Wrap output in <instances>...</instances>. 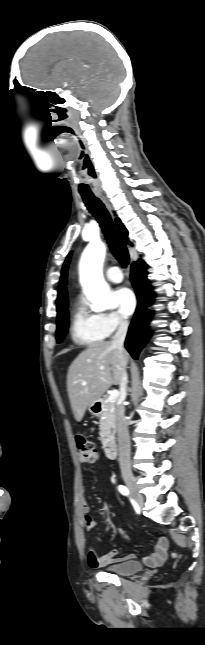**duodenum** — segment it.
I'll return each mask as SVG.
<instances>
[{
    "label": "duodenum",
    "instance_id": "1",
    "mask_svg": "<svg viewBox=\"0 0 205 645\" xmlns=\"http://www.w3.org/2000/svg\"><path fill=\"white\" fill-rule=\"evenodd\" d=\"M101 408L102 405L100 403L97 404V412L101 411ZM104 452L107 458L115 459L118 453L117 443L113 440L106 442L104 445Z\"/></svg>",
    "mask_w": 205,
    "mask_h": 645
}]
</instances>
